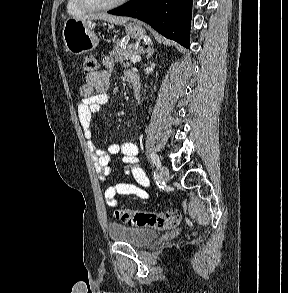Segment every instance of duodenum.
<instances>
[{"label":"duodenum","mask_w":288,"mask_h":293,"mask_svg":"<svg viewBox=\"0 0 288 293\" xmlns=\"http://www.w3.org/2000/svg\"><path fill=\"white\" fill-rule=\"evenodd\" d=\"M130 83L132 85L133 89V95L135 98H137L140 95L141 92V81L140 78L137 75H134L130 78Z\"/></svg>","instance_id":"410a0bca"}]
</instances>
